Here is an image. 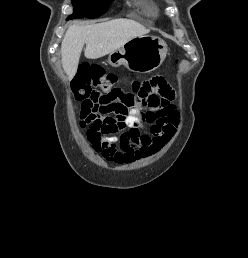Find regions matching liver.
<instances>
[{
    "instance_id": "liver-1",
    "label": "liver",
    "mask_w": 248,
    "mask_h": 258,
    "mask_svg": "<svg viewBox=\"0 0 248 258\" xmlns=\"http://www.w3.org/2000/svg\"><path fill=\"white\" fill-rule=\"evenodd\" d=\"M149 31L131 19H115L86 26H70L61 44L62 66L68 79L71 80L77 72L80 55L85 44V57L98 59Z\"/></svg>"
}]
</instances>
